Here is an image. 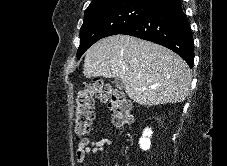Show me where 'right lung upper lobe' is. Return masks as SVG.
I'll return each mask as SVG.
<instances>
[{
	"instance_id": "1",
	"label": "right lung upper lobe",
	"mask_w": 227,
	"mask_h": 166,
	"mask_svg": "<svg viewBox=\"0 0 227 166\" xmlns=\"http://www.w3.org/2000/svg\"><path fill=\"white\" fill-rule=\"evenodd\" d=\"M163 1L164 0H92L90 5L86 9L85 13L91 12L100 8L128 3V2H137V3L147 4L155 7L156 5L160 4Z\"/></svg>"
}]
</instances>
